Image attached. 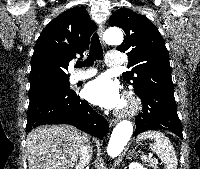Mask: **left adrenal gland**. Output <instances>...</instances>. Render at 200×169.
<instances>
[{"label": "left adrenal gland", "mask_w": 200, "mask_h": 169, "mask_svg": "<svg viewBox=\"0 0 200 169\" xmlns=\"http://www.w3.org/2000/svg\"><path fill=\"white\" fill-rule=\"evenodd\" d=\"M135 156V151H129L128 155H127V159H131V157Z\"/></svg>", "instance_id": "1"}]
</instances>
